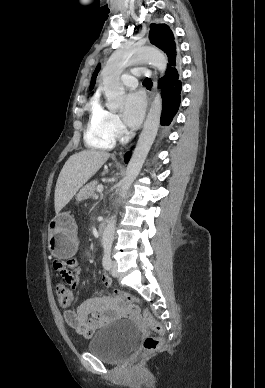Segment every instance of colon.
Here are the masks:
<instances>
[{"instance_id":"1","label":"colon","mask_w":265,"mask_h":388,"mask_svg":"<svg viewBox=\"0 0 265 388\" xmlns=\"http://www.w3.org/2000/svg\"><path fill=\"white\" fill-rule=\"evenodd\" d=\"M56 293L58 303L62 308H68L73 303V294L71 290L63 284H58L56 287ZM113 298L118 302H128L143 308V320L144 322L156 333L158 336H147L144 339L143 347L147 351L157 350L163 343L165 335V327L158 322L152 315L150 309L145 302L126 291L115 290L113 292Z\"/></svg>"}]
</instances>
